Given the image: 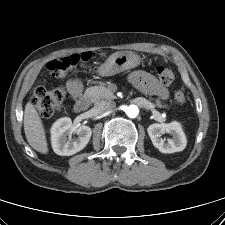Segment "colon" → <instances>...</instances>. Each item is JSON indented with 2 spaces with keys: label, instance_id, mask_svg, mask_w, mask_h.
Wrapping results in <instances>:
<instances>
[{
  "label": "colon",
  "instance_id": "1",
  "mask_svg": "<svg viewBox=\"0 0 225 225\" xmlns=\"http://www.w3.org/2000/svg\"><path fill=\"white\" fill-rule=\"evenodd\" d=\"M92 59L91 53L72 54L61 58L53 59L46 65L47 70L55 77L64 76L68 72L81 69ZM159 79L165 83L170 84L174 80L173 72L164 66L157 68ZM173 97L179 104H185L188 100L186 91L182 87L173 90ZM66 98V90L62 87L56 89H48L39 86L34 90L32 96V104L36 108L38 114L42 118L51 117L60 104Z\"/></svg>",
  "mask_w": 225,
  "mask_h": 225
}]
</instances>
